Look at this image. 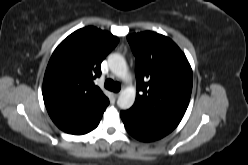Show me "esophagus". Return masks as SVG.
I'll use <instances>...</instances> for the list:
<instances>
[{
  "mask_svg": "<svg viewBox=\"0 0 248 165\" xmlns=\"http://www.w3.org/2000/svg\"><path fill=\"white\" fill-rule=\"evenodd\" d=\"M121 92H117L114 94L115 98H118Z\"/></svg>",
  "mask_w": 248,
  "mask_h": 165,
  "instance_id": "obj_1",
  "label": "esophagus"
}]
</instances>
